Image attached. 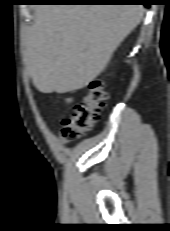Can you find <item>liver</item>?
I'll return each mask as SVG.
<instances>
[{
	"mask_svg": "<svg viewBox=\"0 0 170 231\" xmlns=\"http://www.w3.org/2000/svg\"><path fill=\"white\" fill-rule=\"evenodd\" d=\"M142 5H38L24 37V63L42 93L82 89L140 23Z\"/></svg>",
	"mask_w": 170,
	"mask_h": 231,
	"instance_id": "1",
	"label": "liver"
}]
</instances>
